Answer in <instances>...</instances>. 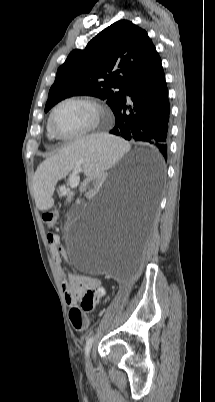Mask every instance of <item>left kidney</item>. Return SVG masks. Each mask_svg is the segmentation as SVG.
Instances as JSON below:
<instances>
[{
  "mask_svg": "<svg viewBox=\"0 0 215 402\" xmlns=\"http://www.w3.org/2000/svg\"><path fill=\"white\" fill-rule=\"evenodd\" d=\"M106 172L104 169H97L93 175H87L85 184L82 186L83 193H95L96 187H100L102 184V178H104Z\"/></svg>",
  "mask_w": 215,
  "mask_h": 402,
  "instance_id": "obj_1",
  "label": "left kidney"
}]
</instances>
